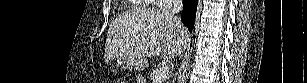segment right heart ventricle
<instances>
[{"mask_svg": "<svg viewBox=\"0 0 307 83\" xmlns=\"http://www.w3.org/2000/svg\"><path fill=\"white\" fill-rule=\"evenodd\" d=\"M136 8H143L144 6L143 5H141V4H136V6H135Z\"/></svg>", "mask_w": 307, "mask_h": 83, "instance_id": "obj_1", "label": "right heart ventricle"}]
</instances>
